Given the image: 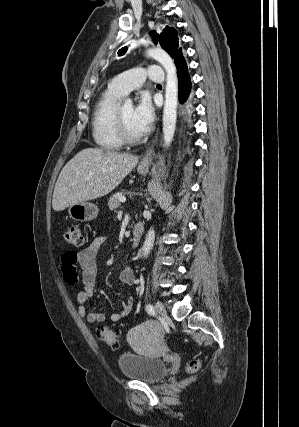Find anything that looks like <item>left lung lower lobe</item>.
Returning a JSON list of instances; mask_svg holds the SVG:
<instances>
[{
  "label": "left lung lower lobe",
  "mask_w": 299,
  "mask_h": 427,
  "mask_svg": "<svg viewBox=\"0 0 299 427\" xmlns=\"http://www.w3.org/2000/svg\"><path fill=\"white\" fill-rule=\"evenodd\" d=\"M174 62L177 67V74L179 80V101L185 104V111L190 115L192 113V105L188 100L191 92V81L187 71V64L182 54V49L179 48L174 56Z\"/></svg>",
  "instance_id": "1"
}]
</instances>
